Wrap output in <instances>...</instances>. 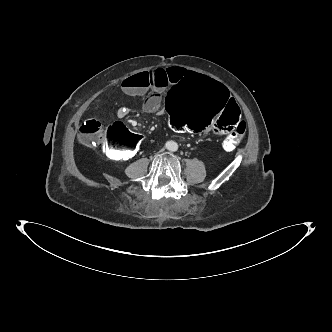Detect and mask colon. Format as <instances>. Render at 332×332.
<instances>
[{"label": "colon", "instance_id": "colon-1", "mask_svg": "<svg viewBox=\"0 0 332 332\" xmlns=\"http://www.w3.org/2000/svg\"><path fill=\"white\" fill-rule=\"evenodd\" d=\"M166 116L170 125L183 133L227 134L223 141L226 150L235 149L246 132L245 122H240L242 109L238 100L219 81L200 73L185 75L178 81L170 92ZM79 139L86 146L108 143L105 153L116 160L135 156L142 144L139 134L120 125L105 131L92 118L81 124Z\"/></svg>", "mask_w": 332, "mask_h": 332}]
</instances>
